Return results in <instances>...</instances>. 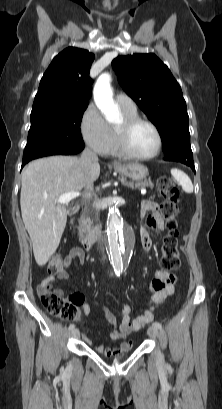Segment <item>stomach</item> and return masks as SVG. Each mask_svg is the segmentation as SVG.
<instances>
[{"mask_svg":"<svg viewBox=\"0 0 222 409\" xmlns=\"http://www.w3.org/2000/svg\"><path fill=\"white\" fill-rule=\"evenodd\" d=\"M114 170L133 181H141L148 175L147 167L139 163L122 164L115 166Z\"/></svg>","mask_w":222,"mask_h":409,"instance_id":"obj_1","label":"stomach"}]
</instances>
